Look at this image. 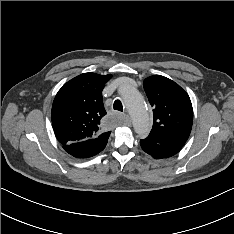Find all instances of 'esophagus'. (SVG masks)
Returning a JSON list of instances; mask_svg holds the SVG:
<instances>
[{"instance_id":"1","label":"esophagus","mask_w":234,"mask_h":234,"mask_svg":"<svg viewBox=\"0 0 234 234\" xmlns=\"http://www.w3.org/2000/svg\"><path fill=\"white\" fill-rule=\"evenodd\" d=\"M122 117H123L124 122H125L126 125H130L131 124V119H130L129 115L123 114Z\"/></svg>"}]
</instances>
